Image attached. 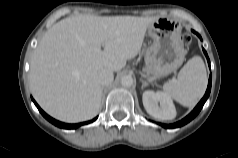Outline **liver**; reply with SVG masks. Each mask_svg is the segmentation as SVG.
<instances>
[{"label":"liver","mask_w":238,"mask_h":158,"mask_svg":"<svg viewBox=\"0 0 238 158\" xmlns=\"http://www.w3.org/2000/svg\"><path fill=\"white\" fill-rule=\"evenodd\" d=\"M156 17L78 15L54 24L32 54L33 96L50 116L76 123L101 107V69L122 70L139 53ZM103 47V50L101 49Z\"/></svg>","instance_id":"obj_1"}]
</instances>
